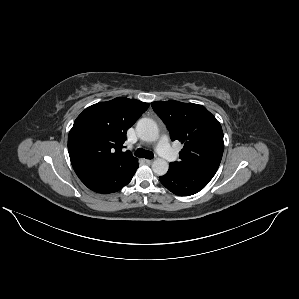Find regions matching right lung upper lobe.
I'll use <instances>...</instances> for the list:
<instances>
[{
    "mask_svg": "<svg viewBox=\"0 0 299 299\" xmlns=\"http://www.w3.org/2000/svg\"><path fill=\"white\" fill-rule=\"evenodd\" d=\"M148 107L135 99L115 98L86 108L76 118L68 136V152L80 180L137 162L121 148L126 131Z\"/></svg>",
    "mask_w": 299,
    "mask_h": 299,
    "instance_id": "1",
    "label": "right lung upper lobe"
}]
</instances>
